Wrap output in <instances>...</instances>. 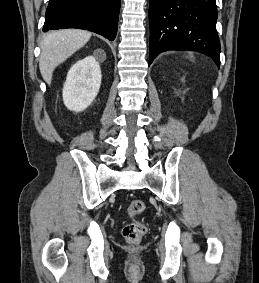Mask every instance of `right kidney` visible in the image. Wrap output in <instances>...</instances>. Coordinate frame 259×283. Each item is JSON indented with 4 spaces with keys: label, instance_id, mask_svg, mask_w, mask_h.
Wrapping results in <instances>:
<instances>
[{
    "label": "right kidney",
    "instance_id": "obj_1",
    "mask_svg": "<svg viewBox=\"0 0 259 283\" xmlns=\"http://www.w3.org/2000/svg\"><path fill=\"white\" fill-rule=\"evenodd\" d=\"M101 78L100 65L94 56L77 61L69 70L63 87L65 106L75 112L85 110L95 100Z\"/></svg>",
    "mask_w": 259,
    "mask_h": 283
}]
</instances>
